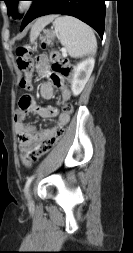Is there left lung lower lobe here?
Listing matches in <instances>:
<instances>
[{"label": "left lung lower lobe", "mask_w": 133, "mask_h": 253, "mask_svg": "<svg viewBox=\"0 0 133 253\" xmlns=\"http://www.w3.org/2000/svg\"><path fill=\"white\" fill-rule=\"evenodd\" d=\"M35 4L26 14L21 30L37 17L48 14L74 16L94 28L100 37L104 33L106 0H31Z\"/></svg>", "instance_id": "left-lung-lower-lobe-1"}]
</instances>
